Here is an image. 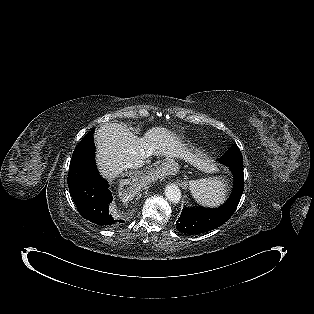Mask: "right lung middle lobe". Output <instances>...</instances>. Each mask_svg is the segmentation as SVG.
<instances>
[{
  "mask_svg": "<svg viewBox=\"0 0 314 314\" xmlns=\"http://www.w3.org/2000/svg\"><path fill=\"white\" fill-rule=\"evenodd\" d=\"M94 133V130H91L84 138H83V140L82 141H87L90 137H91V135Z\"/></svg>",
  "mask_w": 314,
  "mask_h": 314,
  "instance_id": "right-lung-middle-lobe-1",
  "label": "right lung middle lobe"
}]
</instances>
